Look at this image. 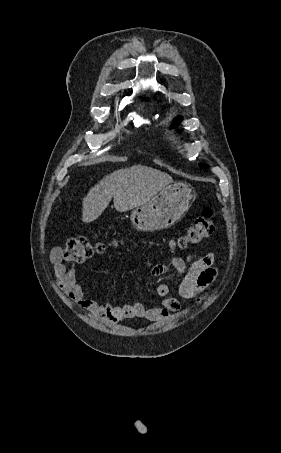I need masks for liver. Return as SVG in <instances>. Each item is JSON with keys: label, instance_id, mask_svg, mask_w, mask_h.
Listing matches in <instances>:
<instances>
[{"label": "liver", "instance_id": "6515ba94", "mask_svg": "<svg viewBox=\"0 0 281 453\" xmlns=\"http://www.w3.org/2000/svg\"><path fill=\"white\" fill-rule=\"evenodd\" d=\"M170 182H173L170 174L143 164L114 170L101 178L98 184H94L84 196L82 220H96L108 206L112 196L118 212L141 206Z\"/></svg>", "mask_w": 281, "mask_h": 453}]
</instances>
